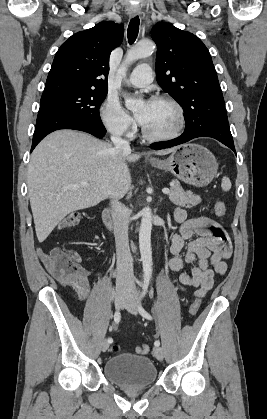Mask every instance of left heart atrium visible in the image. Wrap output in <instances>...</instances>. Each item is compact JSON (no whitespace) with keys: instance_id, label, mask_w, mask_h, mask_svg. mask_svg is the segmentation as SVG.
Instances as JSON below:
<instances>
[{"instance_id":"obj_1","label":"left heart atrium","mask_w":267,"mask_h":419,"mask_svg":"<svg viewBox=\"0 0 267 419\" xmlns=\"http://www.w3.org/2000/svg\"><path fill=\"white\" fill-rule=\"evenodd\" d=\"M150 102H151V101H147V102H145V103H144L143 108H142L140 111H138V112H137V114H136L137 119H138V121H139L141 124H142V123L144 122V120H145V117H146V112H147V109H148V106H149Z\"/></svg>"}]
</instances>
